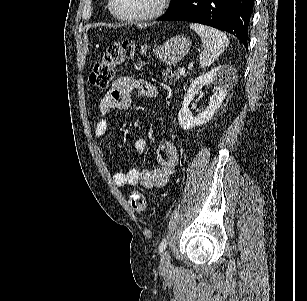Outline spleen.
<instances>
[{"mask_svg":"<svg viewBox=\"0 0 307 301\" xmlns=\"http://www.w3.org/2000/svg\"><path fill=\"white\" fill-rule=\"evenodd\" d=\"M189 26L199 34L203 42L204 48L200 52L199 62L201 68H207L226 50L229 38L225 32L218 30V28H212V26L197 24V22H191Z\"/></svg>","mask_w":307,"mask_h":301,"instance_id":"3e777b00","label":"spleen"}]
</instances>
